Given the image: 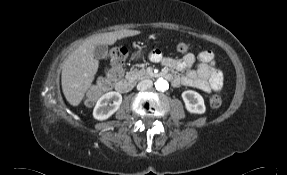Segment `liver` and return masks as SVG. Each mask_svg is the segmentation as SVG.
<instances>
[{"label":"liver","instance_id":"obj_1","mask_svg":"<svg viewBox=\"0 0 287 175\" xmlns=\"http://www.w3.org/2000/svg\"><path fill=\"white\" fill-rule=\"evenodd\" d=\"M137 30H120L102 33L86 39L65 60L62 68V91L72 106H78L91 87L98 71L99 62L95 49L101 45H113L118 39L139 34Z\"/></svg>","mask_w":287,"mask_h":175}]
</instances>
